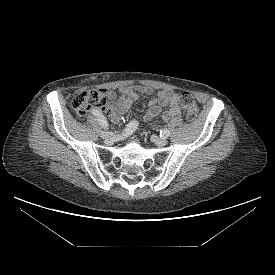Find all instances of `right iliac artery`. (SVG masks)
<instances>
[{
  "label": "right iliac artery",
  "instance_id": "1",
  "mask_svg": "<svg viewBox=\"0 0 275 275\" xmlns=\"http://www.w3.org/2000/svg\"><path fill=\"white\" fill-rule=\"evenodd\" d=\"M92 114L98 119V121L100 122V125L107 130L108 129V123L106 118L104 117V115L98 111V110H92ZM138 127V121L133 120L130 123H128V125L126 126V128L123 130V134L125 136L131 135Z\"/></svg>",
  "mask_w": 275,
  "mask_h": 275
}]
</instances>
